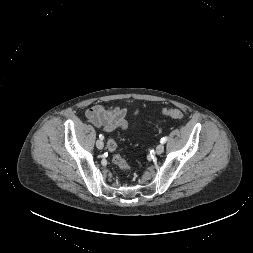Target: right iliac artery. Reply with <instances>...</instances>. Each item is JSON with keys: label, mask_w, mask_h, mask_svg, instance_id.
Listing matches in <instances>:
<instances>
[{"label": "right iliac artery", "mask_w": 253, "mask_h": 253, "mask_svg": "<svg viewBox=\"0 0 253 253\" xmlns=\"http://www.w3.org/2000/svg\"><path fill=\"white\" fill-rule=\"evenodd\" d=\"M99 138H100L101 140H103V139H104V136H103L102 134H100V135H99Z\"/></svg>", "instance_id": "right-iliac-artery-1"}]
</instances>
